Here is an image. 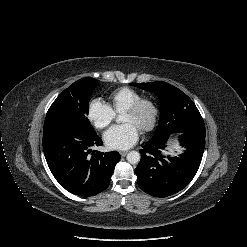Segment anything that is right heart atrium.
I'll return each instance as SVG.
<instances>
[{"label":"right heart atrium","instance_id":"obj_1","mask_svg":"<svg viewBox=\"0 0 247 247\" xmlns=\"http://www.w3.org/2000/svg\"><path fill=\"white\" fill-rule=\"evenodd\" d=\"M87 117L95 128L104 129L114 120L115 112L106 102L94 98L87 105Z\"/></svg>","mask_w":247,"mask_h":247}]
</instances>
